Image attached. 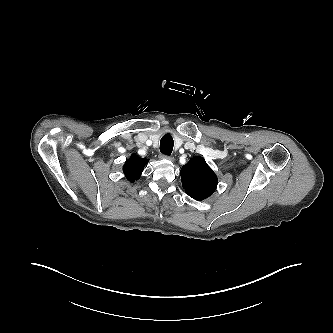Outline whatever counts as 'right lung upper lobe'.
I'll list each match as a JSON object with an SVG mask.
<instances>
[{"label": "right lung upper lobe", "instance_id": "1", "mask_svg": "<svg viewBox=\"0 0 333 333\" xmlns=\"http://www.w3.org/2000/svg\"><path fill=\"white\" fill-rule=\"evenodd\" d=\"M147 162L148 159L139 158L138 156L133 154L123 166V172L125 173L126 178L132 183L137 180L141 176V173Z\"/></svg>", "mask_w": 333, "mask_h": 333}]
</instances>
